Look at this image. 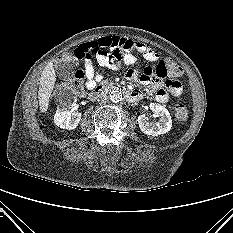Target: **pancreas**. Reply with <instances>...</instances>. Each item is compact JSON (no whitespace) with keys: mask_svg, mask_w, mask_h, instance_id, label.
<instances>
[{"mask_svg":"<svg viewBox=\"0 0 233 233\" xmlns=\"http://www.w3.org/2000/svg\"><path fill=\"white\" fill-rule=\"evenodd\" d=\"M109 83L111 84V82H109L108 80H105L102 82V84H104V85H108Z\"/></svg>","mask_w":233,"mask_h":233,"instance_id":"pancreas-1","label":"pancreas"}]
</instances>
